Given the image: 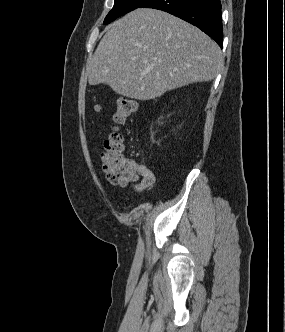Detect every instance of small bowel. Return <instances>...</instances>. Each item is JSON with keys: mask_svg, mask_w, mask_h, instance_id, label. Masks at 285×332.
Returning <instances> with one entry per match:
<instances>
[{"mask_svg": "<svg viewBox=\"0 0 285 332\" xmlns=\"http://www.w3.org/2000/svg\"><path fill=\"white\" fill-rule=\"evenodd\" d=\"M132 164L137 174L141 177V180L133 183L131 188L138 192L153 188L156 183V178L152 170L143 164L136 162H132Z\"/></svg>", "mask_w": 285, "mask_h": 332, "instance_id": "c3829d8e", "label": "small bowel"}]
</instances>
